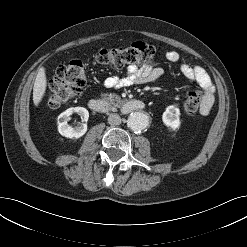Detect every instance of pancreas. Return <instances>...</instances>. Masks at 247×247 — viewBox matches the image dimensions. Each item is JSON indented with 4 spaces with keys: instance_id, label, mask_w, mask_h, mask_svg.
<instances>
[{
    "instance_id": "pancreas-1",
    "label": "pancreas",
    "mask_w": 247,
    "mask_h": 247,
    "mask_svg": "<svg viewBox=\"0 0 247 247\" xmlns=\"http://www.w3.org/2000/svg\"><path fill=\"white\" fill-rule=\"evenodd\" d=\"M102 97H104V99L108 101V103L112 105L114 108L120 107L121 104L124 102L123 100H121V97L115 93H110V94L104 93L102 94Z\"/></svg>"
}]
</instances>
